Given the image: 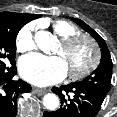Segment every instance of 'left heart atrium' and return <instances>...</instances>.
I'll return each mask as SVG.
<instances>
[{"label": "left heart atrium", "instance_id": "left-heart-atrium-1", "mask_svg": "<svg viewBox=\"0 0 117 117\" xmlns=\"http://www.w3.org/2000/svg\"><path fill=\"white\" fill-rule=\"evenodd\" d=\"M21 76L37 86H47L62 81L68 68L61 57H48L38 53L24 56L19 63Z\"/></svg>", "mask_w": 117, "mask_h": 117}]
</instances>
